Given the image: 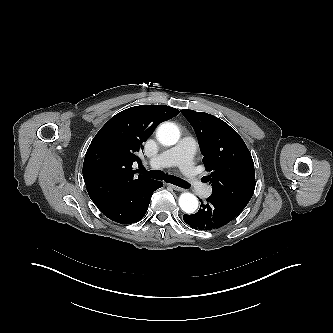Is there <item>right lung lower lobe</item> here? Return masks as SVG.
Returning a JSON list of instances; mask_svg holds the SVG:
<instances>
[{"label":"right lung lower lobe","instance_id":"right-lung-lower-lobe-1","mask_svg":"<svg viewBox=\"0 0 333 333\" xmlns=\"http://www.w3.org/2000/svg\"><path fill=\"white\" fill-rule=\"evenodd\" d=\"M162 185L161 182L151 179L111 202L98 206V209L115 222L121 224L135 223L146 214L152 193Z\"/></svg>","mask_w":333,"mask_h":333}]
</instances>
